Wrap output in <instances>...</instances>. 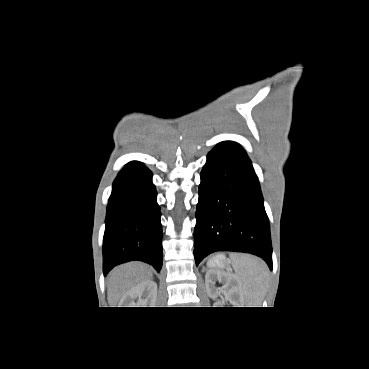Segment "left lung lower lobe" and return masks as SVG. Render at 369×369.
<instances>
[{
	"label": "left lung lower lobe",
	"instance_id": "1",
	"mask_svg": "<svg viewBox=\"0 0 369 369\" xmlns=\"http://www.w3.org/2000/svg\"><path fill=\"white\" fill-rule=\"evenodd\" d=\"M216 251L251 253L272 269L270 225L259 181L244 149L231 141L209 152L199 185L196 265Z\"/></svg>",
	"mask_w": 369,
	"mask_h": 369
}]
</instances>
